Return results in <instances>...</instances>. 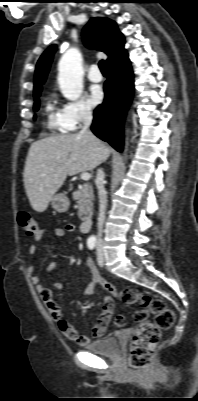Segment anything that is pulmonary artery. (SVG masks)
I'll list each match as a JSON object with an SVG mask.
<instances>
[{"label":"pulmonary artery","instance_id":"e3ab8cb5","mask_svg":"<svg viewBox=\"0 0 198 401\" xmlns=\"http://www.w3.org/2000/svg\"><path fill=\"white\" fill-rule=\"evenodd\" d=\"M87 77L89 79V81L93 82V83H98L101 82L103 79L102 73L99 70L98 65L93 64L91 65Z\"/></svg>","mask_w":198,"mask_h":401}]
</instances>
